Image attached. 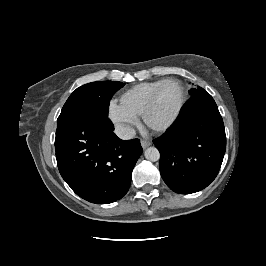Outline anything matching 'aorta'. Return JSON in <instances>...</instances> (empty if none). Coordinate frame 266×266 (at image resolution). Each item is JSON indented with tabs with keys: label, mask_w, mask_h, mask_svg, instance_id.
Returning <instances> with one entry per match:
<instances>
[{
	"label": "aorta",
	"mask_w": 266,
	"mask_h": 266,
	"mask_svg": "<svg viewBox=\"0 0 266 266\" xmlns=\"http://www.w3.org/2000/svg\"><path fill=\"white\" fill-rule=\"evenodd\" d=\"M145 158L149 161L156 162L160 158V153L156 147H149L144 152Z\"/></svg>",
	"instance_id": "762f6f07"
}]
</instances>
